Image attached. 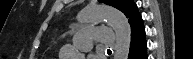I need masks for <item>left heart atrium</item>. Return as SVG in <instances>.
I'll return each instance as SVG.
<instances>
[{
	"instance_id": "39dd6f15",
	"label": "left heart atrium",
	"mask_w": 193,
	"mask_h": 59,
	"mask_svg": "<svg viewBox=\"0 0 193 59\" xmlns=\"http://www.w3.org/2000/svg\"><path fill=\"white\" fill-rule=\"evenodd\" d=\"M87 59H99L96 55H89Z\"/></svg>"
}]
</instances>
